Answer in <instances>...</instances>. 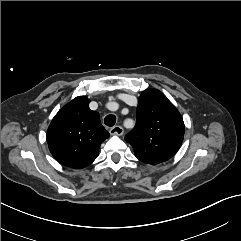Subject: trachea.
Returning a JSON list of instances; mask_svg holds the SVG:
<instances>
[{
  "label": "trachea",
  "instance_id": "3493384b",
  "mask_svg": "<svg viewBox=\"0 0 241 241\" xmlns=\"http://www.w3.org/2000/svg\"><path fill=\"white\" fill-rule=\"evenodd\" d=\"M104 123L109 127L114 126V124L116 123L115 115H107L104 119Z\"/></svg>",
  "mask_w": 241,
  "mask_h": 241
}]
</instances>
